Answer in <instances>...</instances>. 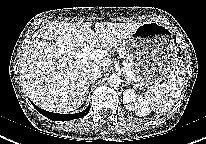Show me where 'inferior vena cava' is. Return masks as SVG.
I'll list each match as a JSON object with an SVG mask.
<instances>
[{"instance_id":"inferior-vena-cava-1","label":"inferior vena cava","mask_w":206,"mask_h":144,"mask_svg":"<svg viewBox=\"0 0 206 144\" xmlns=\"http://www.w3.org/2000/svg\"><path fill=\"white\" fill-rule=\"evenodd\" d=\"M101 74H102L101 68L94 66L88 69L86 78L88 82H94L99 77H101Z\"/></svg>"}]
</instances>
